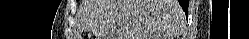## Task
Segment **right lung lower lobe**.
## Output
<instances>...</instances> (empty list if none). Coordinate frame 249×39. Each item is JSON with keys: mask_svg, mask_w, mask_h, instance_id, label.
Segmentation results:
<instances>
[{"mask_svg": "<svg viewBox=\"0 0 249 39\" xmlns=\"http://www.w3.org/2000/svg\"><path fill=\"white\" fill-rule=\"evenodd\" d=\"M179 3L187 15L188 14L189 0H179Z\"/></svg>", "mask_w": 249, "mask_h": 39, "instance_id": "1", "label": "right lung lower lobe"}]
</instances>
